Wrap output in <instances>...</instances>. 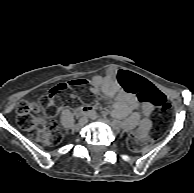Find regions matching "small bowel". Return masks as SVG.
Returning <instances> with one entry per match:
<instances>
[{
    "label": "small bowel",
    "instance_id": "c3829d8e",
    "mask_svg": "<svg viewBox=\"0 0 194 193\" xmlns=\"http://www.w3.org/2000/svg\"><path fill=\"white\" fill-rule=\"evenodd\" d=\"M116 75L117 71L113 69L107 70L104 74L95 75L91 81V92L98 100L113 101V109L111 112L113 117L129 118L132 122H136L138 120V116L135 112L138 106L136 95L132 92L124 91L121 88ZM149 83L157 92L162 94L157 87L151 82ZM56 107L58 110L61 108L58 105H56ZM91 109L92 108L89 105H82L76 110V113L78 115H85L86 112ZM153 110L154 104L152 103L142 104L141 106V113L144 118L141 120L136 132V135L141 139L146 138L147 132L151 127L150 116Z\"/></svg>",
    "mask_w": 194,
    "mask_h": 193
}]
</instances>
